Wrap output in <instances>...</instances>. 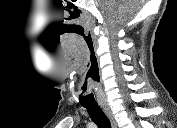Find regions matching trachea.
<instances>
[{
    "label": "trachea",
    "mask_w": 177,
    "mask_h": 128,
    "mask_svg": "<svg viewBox=\"0 0 177 128\" xmlns=\"http://www.w3.org/2000/svg\"><path fill=\"white\" fill-rule=\"evenodd\" d=\"M92 121L98 126V128H111L109 119L104 114L102 109L98 106H84Z\"/></svg>",
    "instance_id": "trachea-1"
}]
</instances>
